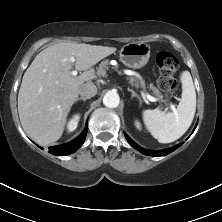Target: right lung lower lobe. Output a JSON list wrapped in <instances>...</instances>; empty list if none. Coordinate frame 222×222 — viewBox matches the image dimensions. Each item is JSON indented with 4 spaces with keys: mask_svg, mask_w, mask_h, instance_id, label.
Returning a JSON list of instances; mask_svg holds the SVG:
<instances>
[{
    "mask_svg": "<svg viewBox=\"0 0 222 222\" xmlns=\"http://www.w3.org/2000/svg\"><path fill=\"white\" fill-rule=\"evenodd\" d=\"M86 134L87 128H85L84 131L80 134V136L74 139L73 141L63 145L49 147V153L57 156H64L73 153L84 143Z\"/></svg>",
    "mask_w": 222,
    "mask_h": 222,
    "instance_id": "obj_1",
    "label": "right lung lower lobe"
}]
</instances>
